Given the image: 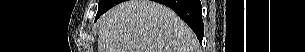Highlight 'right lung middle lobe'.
Masks as SVG:
<instances>
[{
    "label": "right lung middle lobe",
    "instance_id": "right-lung-middle-lobe-1",
    "mask_svg": "<svg viewBox=\"0 0 305 52\" xmlns=\"http://www.w3.org/2000/svg\"><path fill=\"white\" fill-rule=\"evenodd\" d=\"M108 2H109V0H99L98 11L101 10L102 8H104L107 5Z\"/></svg>",
    "mask_w": 305,
    "mask_h": 52
}]
</instances>
